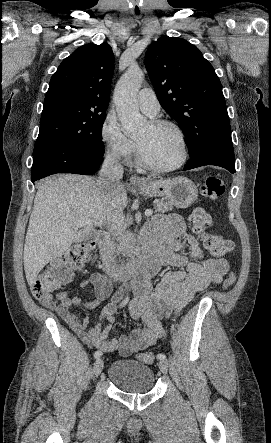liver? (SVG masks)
Returning <instances> with one entry per match:
<instances>
[{
  "instance_id": "1",
  "label": "liver",
  "mask_w": 271,
  "mask_h": 443,
  "mask_svg": "<svg viewBox=\"0 0 271 443\" xmlns=\"http://www.w3.org/2000/svg\"><path fill=\"white\" fill-rule=\"evenodd\" d=\"M96 184V178L76 174H59L39 182L23 253L29 285H34L46 263L62 255L73 241L86 239L94 231L95 222L107 227L113 222L121 223L128 204L123 184L119 182L118 188L107 194ZM81 218L89 223H78Z\"/></svg>"
}]
</instances>
